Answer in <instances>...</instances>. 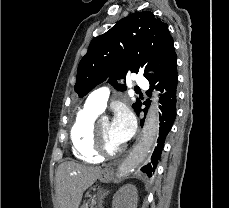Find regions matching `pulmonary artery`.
Returning a JSON list of instances; mask_svg holds the SVG:
<instances>
[{"label":"pulmonary artery","mask_w":229,"mask_h":208,"mask_svg":"<svg viewBox=\"0 0 229 208\" xmlns=\"http://www.w3.org/2000/svg\"><path fill=\"white\" fill-rule=\"evenodd\" d=\"M134 77H139V72L133 73ZM135 82L138 87H147V79L146 78H136ZM110 88L108 86L100 87L92 91L85 101L86 107L101 113L105 110L106 104L109 98Z\"/></svg>","instance_id":"pulmonary-artery-1"}]
</instances>
